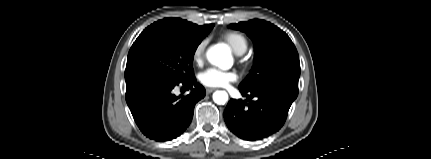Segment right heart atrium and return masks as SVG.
<instances>
[{
  "instance_id": "right-heart-atrium-1",
  "label": "right heart atrium",
  "mask_w": 431,
  "mask_h": 159,
  "mask_svg": "<svg viewBox=\"0 0 431 159\" xmlns=\"http://www.w3.org/2000/svg\"><path fill=\"white\" fill-rule=\"evenodd\" d=\"M206 45H207V39H202L194 47L192 58L196 63L202 62L205 54Z\"/></svg>"
}]
</instances>
